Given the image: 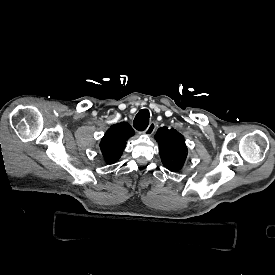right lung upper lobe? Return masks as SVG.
Masks as SVG:
<instances>
[{
	"label": "right lung upper lobe",
	"instance_id": "right-lung-upper-lobe-1",
	"mask_svg": "<svg viewBox=\"0 0 275 275\" xmlns=\"http://www.w3.org/2000/svg\"><path fill=\"white\" fill-rule=\"evenodd\" d=\"M133 135L134 130L126 122L114 124L107 130L100 142V149L106 163L113 164L119 160L126 141Z\"/></svg>",
	"mask_w": 275,
	"mask_h": 275
}]
</instances>
